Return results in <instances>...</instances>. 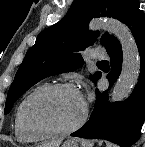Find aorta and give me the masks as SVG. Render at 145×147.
Segmentation results:
<instances>
[{"instance_id":"762f6f07","label":"aorta","mask_w":145,"mask_h":147,"mask_svg":"<svg viewBox=\"0 0 145 147\" xmlns=\"http://www.w3.org/2000/svg\"><path fill=\"white\" fill-rule=\"evenodd\" d=\"M92 28L101 27L113 34L120 42L123 52L121 74L117 79L112 93L111 102L122 101L132 92L138 82L140 74V55L136 41L131 31L120 21L108 19L91 25Z\"/></svg>"}]
</instances>
